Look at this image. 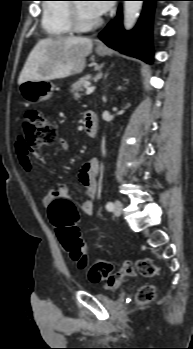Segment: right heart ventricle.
I'll return each mask as SVG.
<instances>
[{
    "label": "right heart ventricle",
    "instance_id": "e07e8e85",
    "mask_svg": "<svg viewBox=\"0 0 193 349\" xmlns=\"http://www.w3.org/2000/svg\"><path fill=\"white\" fill-rule=\"evenodd\" d=\"M54 1L67 0H47L48 3L43 5L42 27L49 37L60 38L71 35L73 30L69 21L70 4L52 3Z\"/></svg>",
    "mask_w": 193,
    "mask_h": 349
}]
</instances>
